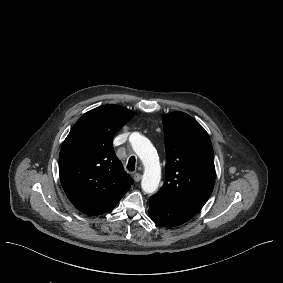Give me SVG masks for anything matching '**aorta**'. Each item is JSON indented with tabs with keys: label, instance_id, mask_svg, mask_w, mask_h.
Instances as JSON below:
<instances>
[{
	"label": "aorta",
	"instance_id": "obj_1",
	"mask_svg": "<svg viewBox=\"0 0 283 283\" xmlns=\"http://www.w3.org/2000/svg\"><path fill=\"white\" fill-rule=\"evenodd\" d=\"M129 141L144 165L142 189L145 193H153L161 180V167L157 152L150 140L137 132L130 135Z\"/></svg>",
	"mask_w": 283,
	"mask_h": 283
}]
</instances>
